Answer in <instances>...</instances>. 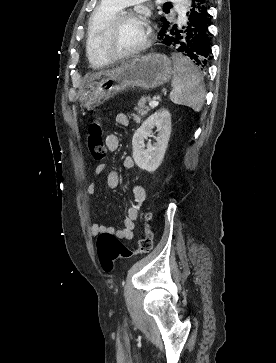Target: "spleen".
<instances>
[{
  "instance_id": "obj_1",
  "label": "spleen",
  "mask_w": 276,
  "mask_h": 363,
  "mask_svg": "<svg viewBox=\"0 0 276 363\" xmlns=\"http://www.w3.org/2000/svg\"><path fill=\"white\" fill-rule=\"evenodd\" d=\"M172 60L174 71L170 100L177 105H185L199 112L205 97L201 73L189 59L181 54H173Z\"/></svg>"
}]
</instances>
